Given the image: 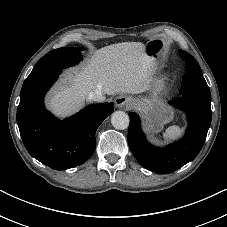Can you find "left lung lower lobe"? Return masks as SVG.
<instances>
[{
  "instance_id": "1",
  "label": "left lung lower lobe",
  "mask_w": 227,
  "mask_h": 227,
  "mask_svg": "<svg viewBox=\"0 0 227 227\" xmlns=\"http://www.w3.org/2000/svg\"><path fill=\"white\" fill-rule=\"evenodd\" d=\"M210 102L192 97L170 101L187 113L189 125L183 139L161 149L147 142L139 117L129 113L128 144L139 164L157 173H171L192 161L200 152L211 124Z\"/></svg>"
}]
</instances>
